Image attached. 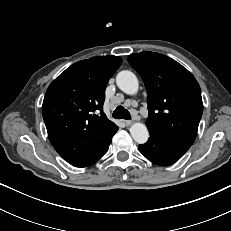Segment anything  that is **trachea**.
Masks as SVG:
<instances>
[{"instance_id":"3493384b","label":"trachea","mask_w":231,"mask_h":231,"mask_svg":"<svg viewBox=\"0 0 231 231\" xmlns=\"http://www.w3.org/2000/svg\"><path fill=\"white\" fill-rule=\"evenodd\" d=\"M112 116L116 119H131V115L127 109H125L123 106H118Z\"/></svg>"}]
</instances>
